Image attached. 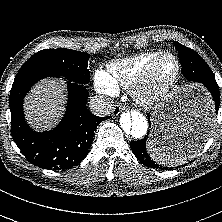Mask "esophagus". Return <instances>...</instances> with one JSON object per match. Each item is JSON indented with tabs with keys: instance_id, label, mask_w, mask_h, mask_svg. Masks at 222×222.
Wrapping results in <instances>:
<instances>
[{
	"instance_id": "obj_1",
	"label": "esophagus",
	"mask_w": 222,
	"mask_h": 222,
	"mask_svg": "<svg viewBox=\"0 0 222 222\" xmlns=\"http://www.w3.org/2000/svg\"><path fill=\"white\" fill-rule=\"evenodd\" d=\"M123 110H125V106H123L122 104H118L113 108L112 113L114 116H117Z\"/></svg>"
}]
</instances>
